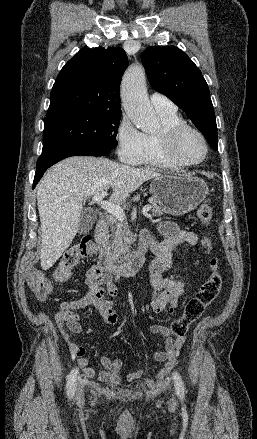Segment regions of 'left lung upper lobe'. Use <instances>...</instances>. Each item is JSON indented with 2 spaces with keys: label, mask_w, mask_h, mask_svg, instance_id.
Instances as JSON below:
<instances>
[{
  "label": "left lung upper lobe",
  "mask_w": 257,
  "mask_h": 439,
  "mask_svg": "<svg viewBox=\"0 0 257 439\" xmlns=\"http://www.w3.org/2000/svg\"><path fill=\"white\" fill-rule=\"evenodd\" d=\"M151 86L186 112L206 137L218 148V133L208 85L193 61L174 46L147 48L141 54Z\"/></svg>",
  "instance_id": "left-lung-upper-lobe-1"
}]
</instances>
